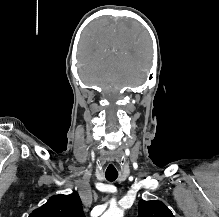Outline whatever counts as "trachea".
Masks as SVG:
<instances>
[{
    "instance_id": "obj_1",
    "label": "trachea",
    "mask_w": 219,
    "mask_h": 217,
    "mask_svg": "<svg viewBox=\"0 0 219 217\" xmlns=\"http://www.w3.org/2000/svg\"><path fill=\"white\" fill-rule=\"evenodd\" d=\"M105 177L110 182L115 181L118 177V172L117 171H106Z\"/></svg>"
}]
</instances>
